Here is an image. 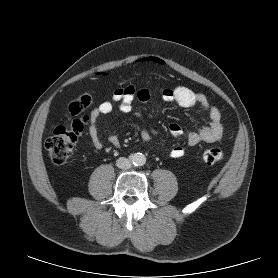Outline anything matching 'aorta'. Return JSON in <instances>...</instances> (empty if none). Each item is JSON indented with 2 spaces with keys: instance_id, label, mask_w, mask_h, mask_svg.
I'll return each instance as SVG.
<instances>
[{
  "instance_id": "762f6f07",
  "label": "aorta",
  "mask_w": 278,
  "mask_h": 278,
  "mask_svg": "<svg viewBox=\"0 0 278 278\" xmlns=\"http://www.w3.org/2000/svg\"><path fill=\"white\" fill-rule=\"evenodd\" d=\"M131 161L135 166H142L146 163V157L142 153H135L132 155Z\"/></svg>"
}]
</instances>
